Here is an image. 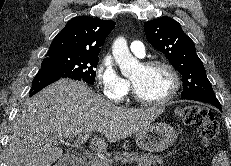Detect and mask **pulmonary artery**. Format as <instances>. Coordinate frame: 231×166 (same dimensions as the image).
<instances>
[{
    "label": "pulmonary artery",
    "instance_id": "e3ab8cb5",
    "mask_svg": "<svg viewBox=\"0 0 231 166\" xmlns=\"http://www.w3.org/2000/svg\"><path fill=\"white\" fill-rule=\"evenodd\" d=\"M130 51L138 57L145 55V46L141 41H133L129 45Z\"/></svg>",
    "mask_w": 231,
    "mask_h": 166
}]
</instances>
